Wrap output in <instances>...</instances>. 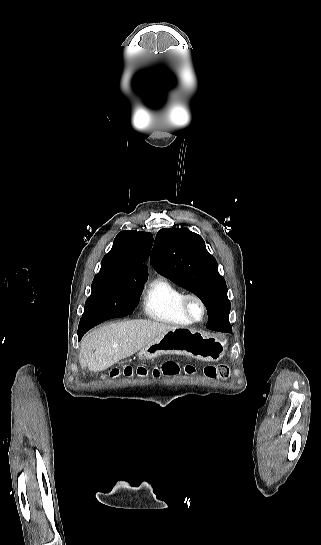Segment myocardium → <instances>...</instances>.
<instances>
[{"instance_id": "f54148a6", "label": "myocardium", "mask_w": 321, "mask_h": 545, "mask_svg": "<svg viewBox=\"0 0 321 545\" xmlns=\"http://www.w3.org/2000/svg\"><path fill=\"white\" fill-rule=\"evenodd\" d=\"M193 302L199 304L201 308V313L199 316H195L192 312L191 305ZM181 311L183 315L188 319L192 324L200 323L204 320L206 316V305L203 299L196 293H185L181 300Z\"/></svg>"}]
</instances>
